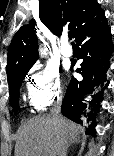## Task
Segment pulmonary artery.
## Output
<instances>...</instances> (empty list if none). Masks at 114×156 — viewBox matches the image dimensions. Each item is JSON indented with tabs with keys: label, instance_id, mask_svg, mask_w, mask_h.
Here are the masks:
<instances>
[{
	"label": "pulmonary artery",
	"instance_id": "1",
	"mask_svg": "<svg viewBox=\"0 0 114 156\" xmlns=\"http://www.w3.org/2000/svg\"><path fill=\"white\" fill-rule=\"evenodd\" d=\"M61 54L64 57H71L73 55V50L71 46L68 44L66 38L62 39Z\"/></svg>",
	"mask_w": 114,
	"mask_h": 156
}]
</instances>
